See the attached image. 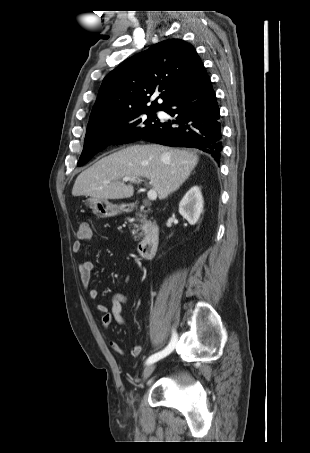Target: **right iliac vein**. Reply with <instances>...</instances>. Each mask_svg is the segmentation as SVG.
Listing matches in <instances>:
<instances>
[{
	"label": "right iliac vein",
	"mask_w": 310,
	"mask_h": 453,
	"mask_svg": "<svg viewBox=\"0 0 310 453\" xmlns=\"http://www.w3.org/2000/svg\"><path fill=\"white\" fill-rule=\"evenodd\" d=\"M154 370H155V365L154 364L148 365L143 370V374H142L143 381H146L151 376V374L154 372Z\"/></svg>",
	"instance_id": "obj_1"
}]
</instances>
